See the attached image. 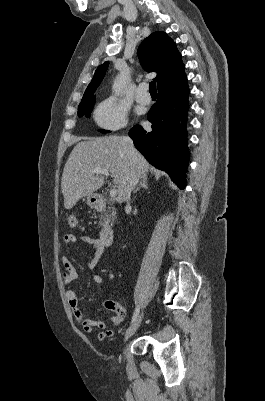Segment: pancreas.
Here are the masks:
<instances>
[{
    "mask_svg": "<svg viewBox=\"0 0 265 401\" xmlns=\"http://www.w3.org/2000/svg\"><path fill=\"white\" fill-rule=\"evenodd\" d=\"M108 205H110V203H108ZM108 209H109V213H111V215H108L107 211H106V213H102V215H99L100 221H109V223H114V221L116 219L115 209H112V211H111V207H108Z\"/></svg>",
    "mask_w": 265,
    "mask_h": 401,
    "instance_id": "pancreas-1",
    "label": "pancreas"
}]
</instances>
